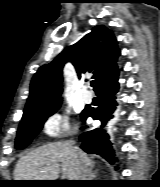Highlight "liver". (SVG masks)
Wrapping results in <instances>:
<instances>
[{"mask_svg":"<svg viewBox=\"0 0 160 187\" xmlns=\"http://www.w3.org/2000/svg\"><path fill=\"white\" fill-rule=\"evenodd\" d=\"M94 165L83 151L67 143L54 142L40 146L17 162L15 180H57L61 171L67 180H79L81 168Z\"/></svg>","mask_w":160,"mask_h":187,"instance_id":"1","label":"liver"}]
</instances>
